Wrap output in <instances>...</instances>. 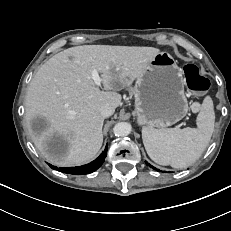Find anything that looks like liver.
<instances>
[{
    "instance_id": "6515ba94",
    "label": "liver",
    "mask_w": 231,
    "mask_h": 231,
    "mask_svg": "<svg viewBox=\"0 0 231 231\" xmlns=\"http://www.w3.org/2000/svg\"><path fill=\"white\" fill-rule=\"evenodd\" d=\"M159 53L154 47L83 45L61 51L44 63L25 99L26 124L41 155L57 166L92 160L103 143L101 107L115 111L121 103L118 91L130 87ZM93 70L101 74L106 91L94 83ZM38 117L49 124L41 134L31 129ZM54 138L66 144L63 153L49 150Z\"/></svg>"
}]
</instances>
